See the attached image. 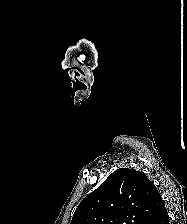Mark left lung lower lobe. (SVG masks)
<instances>
[{"instance_id":"0a47b994","label":"left lung lower lobe","mask_w":187,"mask_h":224,"mask_svg":"<svg viewBox=\"0 0 187 224\" xmlns=\"http://www.w3.org/2000/svg\"><path fill=\"white\" fill-rule=\"evenodd\" d=\"M150 224H169V216L168 212L165 208L164 202H162L161 207L156 214V216L152 219Z\"/></svg>"}]
</instances>
